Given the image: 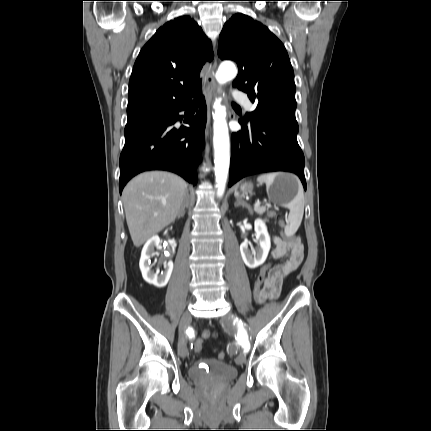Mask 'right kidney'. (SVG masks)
<instances>
[{"label":"right kidney","mask_w":431,"mask_h":431,"mask_svg":"<svg viewBox=\"0 0 431 431\" xmlns=\"http://www.w3.org/2000/svg\"><path fill=\"white\" fill-rule=\"evenodd\" d=\"M160 245V238L158 236H153L150 238L146 244L144 245L141 258L139 262L140 270L143 276V279L157 288H163L167 285L172 271H173V262L169 261L164 264V272L159 274V271H154L151 264V257L156 255L155 248Z\"/></svg>","instance_id":"1"}]
</instances>
